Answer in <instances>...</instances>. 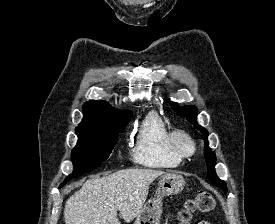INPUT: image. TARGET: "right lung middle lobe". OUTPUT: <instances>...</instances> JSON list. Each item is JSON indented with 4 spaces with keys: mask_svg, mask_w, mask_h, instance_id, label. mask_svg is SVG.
<instances>
[{
    "mask_svg": "<svg viewBox=\"0 0 275 224\" xmlns=\"http://www.w3.org/2000/svg\"><path fill=\"white\" fill-rule=\"evenodd\" d=\"M129 121L104 126L76 128L78 142L71 154L74 169L60 187L69 180L94 170L105 161L115 146L118 133L124 129Z\"/></svg>",
    "mask_w": 275,
    "mask_h": 224,
    "instance_id": "obj_1",
    "label": "right lung middle lobe"
}]
</instances>
